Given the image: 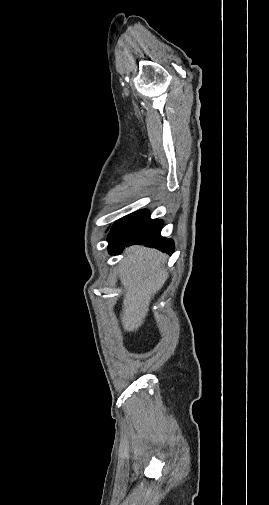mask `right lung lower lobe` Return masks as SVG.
<instances>
[{
    "label": "right lung lower lobe",
    "instance_id": "1",
    "mask_svg": "<svg viewBox=\"0 0 269 505\" xmlns=\"http://www.w3.org/2000/svg\"><path fill=\"white\" fill-rule=\"evenodd\" d=\"M161 229L162 220L150 219V214L145 209L131 213L112 226L107 238L108 251L111 255L119 254L125 246L143 244L172 254L174 242L162 237Z\"/></svg>",
    "mask_w": 269,
    "mask_h": 505
}]
</instances>
